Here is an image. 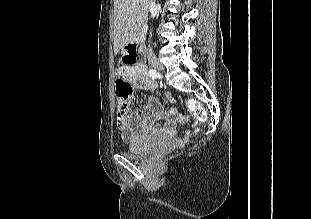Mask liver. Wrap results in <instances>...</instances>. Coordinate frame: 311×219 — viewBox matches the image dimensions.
Wrapping results in <instances>:
<instances>
[{
	"label": "liver",
	"instance_id": "obj_1",
	"mask_svg": "<svg viewBox=\"0 0 311 219\" xmlns=\"http://www.w3.org/2000/svg\"><path fill=\"white\" fill-rule=\"evenodd\" d=\"M150 0H114V52L133 42L147 21Z\"/></svg>",
	"mask_w": 311,
	"mask_h": 219
}]
</instances>
